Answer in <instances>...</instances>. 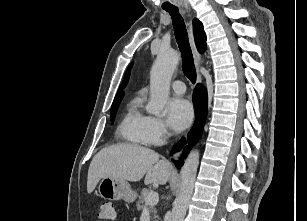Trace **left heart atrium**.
Returning <instances> with one entry per match:
<instances>
[{
	"mask_svg": "<svg viewBox=\"0 0 307 221\" xmlns=\"http://www.w3.org/2000/svg\"><path fill=\"white\" fill-rule=\"evenodd\" d=\"M193 118V110L190 103L184 98H173L167 105V122L175 132L186 129Z\"/></svg>",
	"mask_w": 307,
	"mask_h": 221,
	"instance_id": "1",
	"label": "left heart atrium"
}]
</instances>
